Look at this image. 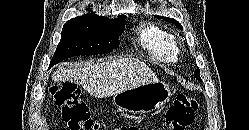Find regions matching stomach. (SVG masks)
<instances>
[{
    "instance_id": "obj_1",
    "label": "stomach",
    "mask_w": 249,
    "mask_h": 130,
    "mask_svg": "<svg viewBox=\"0 0 249 130\" xmlns=\"http://www.w3.org/2000/svg\"><path fill=\"white\" fill-rule=\"evenodd\" d=\"M171 95L168 84L158 80L115 94L113 103L122 111L145 114L169 103Z\"/></svg>"
}]
</instances>
